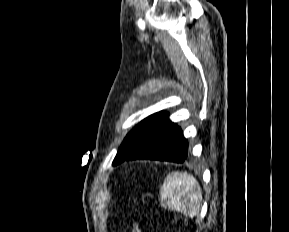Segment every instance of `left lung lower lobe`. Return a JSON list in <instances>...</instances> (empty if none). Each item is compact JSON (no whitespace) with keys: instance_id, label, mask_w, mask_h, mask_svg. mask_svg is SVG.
I'll return each mask as SVG.
<instances>
[{"instance_id":"left-lung-lower-lobe-1","label":"left lung lower lobe","mask_w":289,"mask_h":232,"mask_svg":"<svg viewBox=\"0 0 289 232\" xmlns=\"http://www.w3.org/2000/svg\"><path fill=\"white\" fill-rule=\"evenodd\" d=\"M187 156L188 141L180 127L170 122L125 160L154 159L183 163Z\"/></svg>"}]
</instances>
